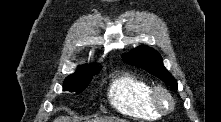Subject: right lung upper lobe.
<instances>
[{
  "label": "right lung upper lobe",
  "instance_id": "cb5924a9",
  "mask_svg": "<svg viewBox=\"0 0 221 122\" xmlns=\"http://www.w3.org/2000/svg\"><path fill=\"white\" fill-rule=\"evenodd\" d=\"M97 69H98V67L95 64H93V65H82L77 69V71L74 74H72L70 76L87 74V73L93 72Z\"/></svg>",
  "mask_w": 221,
  "mask_h": 122
}]
</instances>
